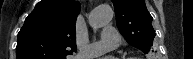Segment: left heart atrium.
Instances as JSON below:
<instances>
[{
	"instance_id": "1",
	"label": "left heart atrium",
	"mask_w": 193,
	"mask_h": 59,
	"mask_svg": "<svg viewBox=\"0 0 193 59\" xmlns=\"http://www.w3.org/2000/svg\"><path fill=\"white\" fill-rule=\"evenodd\" d=\"M103 59H113V58H111V57H105V58H103Z\"/></svg>"
}]
</instances>
